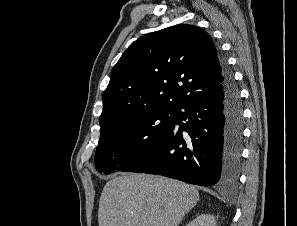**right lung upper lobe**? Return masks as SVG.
Masks as SVG:
<instances>
[{
	"label": "right lung upper lobe",
	"instance_id": "cb5924a9",
	"mask_svg": "<svg viewBox=\"0 0 297 226\" xmlns=\"http://www.w3.org/2000/svg\"><path fill=\"white\" fill-rule=\"evenodd\" d=\"M222 58L201 28L179 24L136 40L116 63L103 93L101 130L156 110H176L223 81Z\"/></svg>",
	"mask_w": 297,
	"mask_h": 226
}]
</instances>
